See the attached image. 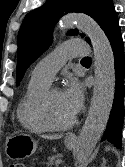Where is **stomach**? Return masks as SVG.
Returning a JSON list of instances; mask_svg holds the SVG:
<instances>
[{
  "label": "stomach",
  "mask_w": 125,
  "mask_h": 167,
  "mask_svg": "<svg viewBox=\"0 0 125 167\" xmlns=\"http://www.w3.org/2000/svg\"><path fill=\"white\" fill-rule=\"evenodd\" d=\"M69 149L74 147V143L66 142ZM37 149L36 141L25 133H12L7 136L5 152L13 160L26 158L35 153Z\"/></svg>",
  "instance_id": "1"
}]
</instances>
